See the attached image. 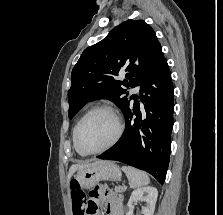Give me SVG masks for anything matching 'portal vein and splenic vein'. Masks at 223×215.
Masks as SVG:
<instances>
[{"mask_svg": "<svg viewBox=\"0 0 223 215\" xmlns=\"http://www.w3.org/2000/svg\"><path fill=\"white\" fill-rule=\"evenodd\" d=\"M121 188H123L125 190L127 188L126 183H121Z\"/></svg>", "mask_w": 223, "mask_h": 215, "instance_id": "1", "label": "portal vein and splenic vein"}]
</instances>
